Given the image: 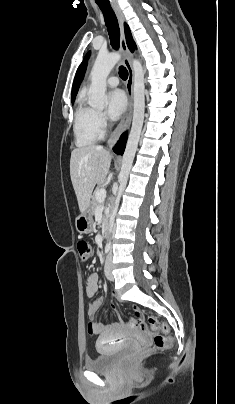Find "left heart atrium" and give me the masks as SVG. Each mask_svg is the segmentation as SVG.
<instances>
[{
  "instance_id": "obj_1",
  "label": "left heart atrium",
  "mask_w": 235,
  "mask_h": 404,
  "mask_svg": "<svg viewBox=\"0 0 235 404\" xmlns=\"http://www.w3.org/2000/svg\"><path fill=\"white\" fill-rule=\"evenodd\" d=\"M126 105L127 100L123 91L115 89L108 93L107 114L111 119H118L126 109Z\"/></svg>"
}]
</instances>
